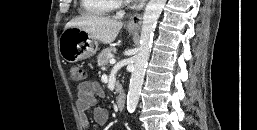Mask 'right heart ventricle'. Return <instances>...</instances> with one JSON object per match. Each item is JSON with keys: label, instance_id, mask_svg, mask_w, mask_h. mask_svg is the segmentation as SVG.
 <instances>
[{"label": "right heart ventricle", "instance_id": "e07e8e85", "mask_svg": "<svg viewBox=\"0 0 257 130\" xmlns=\"http://www.w3.org/2000/svg\"><path fill=\"white\" fill-rule=\"evenodd\" d=\"M81 11L88 15L104 16L116 9L113 0H80Z\"/></svg>", "mask_w": 257, "mask_h": 130}]
</instances>
